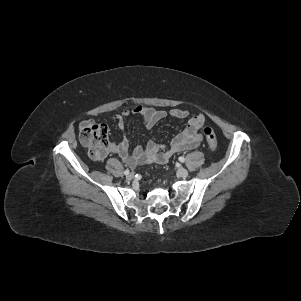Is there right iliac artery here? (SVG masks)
<instances>
[{
	"instance_id": "82829eb1",
	"label": "right iliac artery",
	"mask_w": 301,
	"mask_h": 301,
	"mask_svg": "<svg viewBox=\"0 0 301 301\" xmlns=\"http://www.w3.org/2000/svg\"><path fill=\"white\" fill-rule=\"evenodd\" d=\"M124 174H125V175H128V174H129V170H128V169L125 170V171H124Z\"/></svg>"
}]
</instances>
